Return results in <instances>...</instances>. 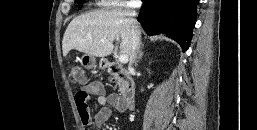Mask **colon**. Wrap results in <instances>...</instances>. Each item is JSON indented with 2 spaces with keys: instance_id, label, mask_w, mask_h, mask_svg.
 Instances as JSON below:
<instances>
[{
  "instance_id": "1",
  "label": "colon",
  "mask_w": 257,
  "mask_h": 130,
  "mask_svg": "<svg viewBox=\"0 0 257 130\" xmlns=\"http://www.w3.org/2000/svg\"><path fill=\"white\" fill-rule=\"evenodd\" d=\"M71 81L77 84L85 83V74L83 70L77 66H74L70 71Z\"/></svg>"
}]
</instances>
